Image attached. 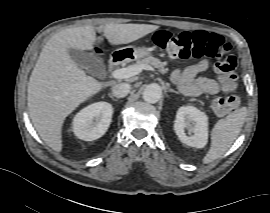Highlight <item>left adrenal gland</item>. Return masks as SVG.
I'll list each match as a JSON object with an SVG mask.
<instances>
[{
    "label": "left adrenal gland",
    "mask_w": 270,
    "mask_h": 213,
    "mask_svg": "<svg viewBox=\"0 0 270 213\" xmlns=\"http://www.w3.org/2000/svg\"><path fill=\"white\" fill-rule=\"evenodd\" d=\"M167 90L169 91V92H173V93H176V94H179V92L178 91H175L174 89H171V88H167Z\"/></svg>",
    "instance_id": "left-adrenal-gland-1"
}]
</instances>
